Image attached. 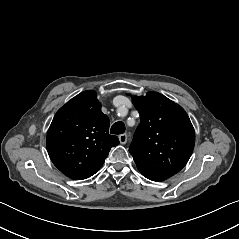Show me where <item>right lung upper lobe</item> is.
Instances as JSON below:
<instances>
[{"label":"right lung upper lobe","mask_w":239,"mask_h":239,"mask_svg":"<svg viewBox=\"0 0 239 239\" xmlns=\"http://www.w3.org/2000/svg\"><path fill=\"white\" fill-rule=\"evenodd\" d=\"M46 144L53 164L67 177L82 180L101 168L119 139L109 134V118L101 112L96 92L88 90L57 111Z\"/></svg>","instance_id":"cb5924a9"}]
</instances>
